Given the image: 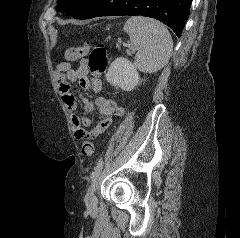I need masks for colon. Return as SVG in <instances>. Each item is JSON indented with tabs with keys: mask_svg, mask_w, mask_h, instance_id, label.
<instances>
[{
	"mask_svg": "<svg viewBox=\"0 0 240 238\" xmlns=\"http://www.w3.org/2000/svg\"><path fill=\"white\" fill-rule=\"evenodd\" d=\"M88 55V67L94 78L100 79V76L105 72L108 59L107 51L103 44L99 43L91 47L87 42L80 47L68 48L64 53V59L67 61H75ZM90 135L86 134V140L82 144V153L85 156H92L94 154V144L88 138Z\"/></svg>",
	"mask_w": 240,
	"mask_h": 238,
	"instance_id": "obj_1",
	"label": "colon"
}]
</instances>
